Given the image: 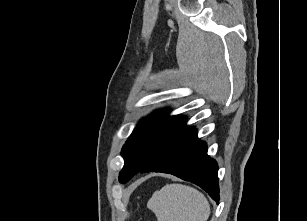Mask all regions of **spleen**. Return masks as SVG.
I'll return each instance as SVG.
<instances>
[{
	"label": "spleen",
	"mask_w": 307,
	"mask_h": 221,
	"mask_svg": "<svg viewBox=\"0 0 307 221\" xmlns=\"http://www.w3.org/2000/svg\"><path fill=\"white\" fill-rule=\"evenodd\" d=\"M158 221H207L210 205L198 190L182 185L167 184L155 191L147 202Z\"/></svg>",
	"instance_id": "1"
}]
</instances>
